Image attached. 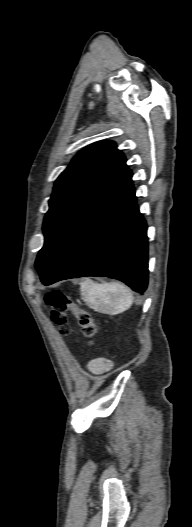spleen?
<instances>
[{"label": "spleen", "instance_id": "1", "mask_svg": "<svg viewBox=\"0 0 192 527\" xmlns=\"http://www.w3.org/2000/svg\"><path fill=\"white\" fill-rule=\"evenodd\" d=\"M80 291L85 303L99 312L119 314L134 302L131 290L116 282L98 284L86 279L81 283Z\"/></svg>", "mask_w": 192, "mask_h": 527}]
</instances>
